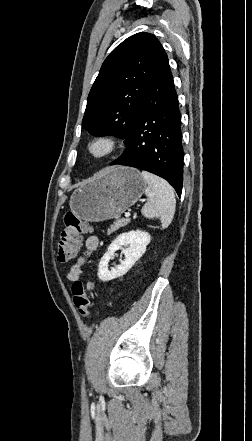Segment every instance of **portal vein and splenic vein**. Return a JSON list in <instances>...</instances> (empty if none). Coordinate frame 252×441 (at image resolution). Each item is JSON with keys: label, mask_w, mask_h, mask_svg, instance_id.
Masks as SVG:
<instances>
[{"label": "portal vein and splenic vein", "mask_w": 252, "mask_h": 441, "mask_svg": "<svg viewBox=\"0 0 252 441\" xmlns=\"http://www.w3.org/2000/svg\"><path fill=\"white\" fill-rule=\"evenodd\" d=\"M129 217H130V213L129 212L125 213V218L128 219Z\"/></svg>", "instance_id": "18ae733b"}]
</instances>
